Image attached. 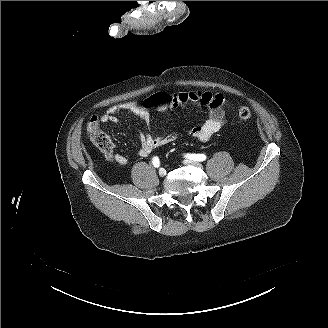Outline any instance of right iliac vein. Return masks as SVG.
Instances as JSON below:
<instances>
[{
    "label": "right iliac vein",
    "mask_w": 328,
    "mask_h": 328,
    "mask_svg": "<svg viewBox=\"0 0 328 328\" xmlns=\"http://www.w3.org/2000/svg\"><path fill=\"white\" fill-rule=\"evenodd\" d=\"M159 175H160L161 177H164V176L166 175V170H165L164 168H161V169L159 170Z\"/></svg>",
    "instance_id": "63e3f726"
}]
</instances>
